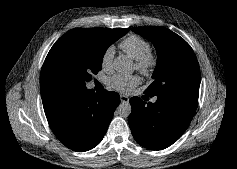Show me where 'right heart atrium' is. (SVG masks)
<instances>
[{
	"label": "right heart atrium",
	"instance_id": "1",
	"mask_svg": "<svg viewBox=\"0 0 237 169\" xmlns=\"http://www.w3.org/2000/svg\"><path fill=\"white\" fill-rule=\"evenodd\" d=\"M113 55H114V47L108 46L104 50L101 57V63L104 68H109L111 66Z\"/></svg>",
	"mask_w": 237,
	"mask_h": 169
}]
</instances>
